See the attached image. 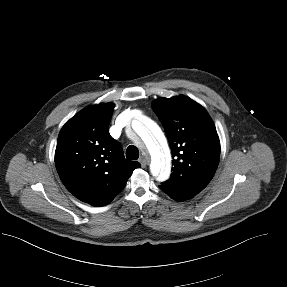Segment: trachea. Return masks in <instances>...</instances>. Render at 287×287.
<instances>
[{
  "label": "trachea",
  "instance_id": "trachea-1",
  "mask_svg": "<svg viewBox=\"0 0 287 287\" xmlns=\"http://www.w3.org/2000/svg\"><path fill=\"white\" fill-rule=\"evenodd\" d=\"M126 158L130 160H137L139 158V150L137 147L130 145L126 150Z\"/></svg>",
  "mask_w": 287,
  "mask_h": 287
}]
</instances>
